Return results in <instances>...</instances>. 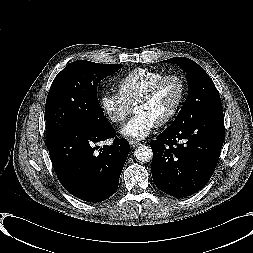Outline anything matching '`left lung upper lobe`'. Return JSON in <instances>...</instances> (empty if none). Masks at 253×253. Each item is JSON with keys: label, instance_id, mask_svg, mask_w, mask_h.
Instances as JSON below:
<instances>
[{"label": "left lung upper lobe", "instance_id": "1", "mask_svg": "<svg viewBox=\"0 0 253 253\" xmlns=\"http://www.w3.org/2000/svg\"><path fill=\"white\" fill-rule=\"evenodd\" d=\"M165 61L177 63L186 71L189 86L187 99L170 127L223 110L219 93L201 66L185 57H174Z\"/></svg>", "mask_w": 253, "mask_h": 253}]
</instances>
